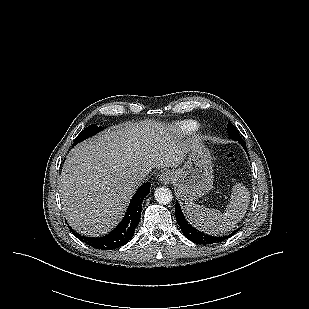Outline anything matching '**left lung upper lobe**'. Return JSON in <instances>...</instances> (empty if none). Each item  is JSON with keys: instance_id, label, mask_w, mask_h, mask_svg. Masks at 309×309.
<instances>
[{"instance_id": "1", "label": "left lung upper lobe", "mask_w": 309, "mask_h": 309, "mask_svg": "<svg viewBox=\"0 0 309 309\" xmlns=\"http://www.w3.org/2000/svg\"><path fill=\"white\" fill-rule=\"evenodd\" d=\"M227 133L229 134L232 140H236V141L242 140L238 130L234 127V125L230 121L227 125Z\"/></svg>"}]
</instances>
